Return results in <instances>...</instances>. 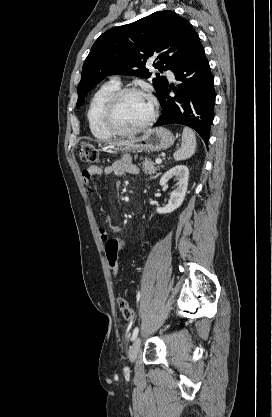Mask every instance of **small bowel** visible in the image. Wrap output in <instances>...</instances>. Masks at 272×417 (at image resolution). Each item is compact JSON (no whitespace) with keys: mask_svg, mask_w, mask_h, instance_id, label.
Listing matches in <instances>:
<instances>
[{"mask_svg":"<svg viewBox=\"0 0 272 417\" xmlns=\"http://www.w3.org/2000/svg\"><path fill=\"white\" fill-rule=\"evenodd\" d=\"M139 173V168L129 157H123L115 160L110 165L90 166L83 170L82 175L84 182L90 187V182L94 176H135ZM99 235L101 240L107 241L109 234L106 230L100 229Z\"/></svg>","mask_w":272,"mask_h":417,"instance_id":"small-bowel-1","label":"small bowel"}]
</instances>
